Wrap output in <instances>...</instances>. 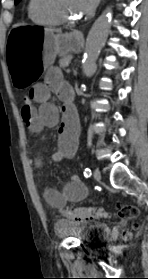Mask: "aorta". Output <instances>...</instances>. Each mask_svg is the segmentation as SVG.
<instances>
[{
  "instance_id": "obj_1",
  "label": "aorta",
  "mask_w": 148,
  "mask_h": 279,
  "mask_svg": "<svg viewBox=\"0 0 148 279\" xmlns=\"http://www.w3.org/2000/svg\"><path fill=\"white\" fill-rule=\"evenodd\" d=\"M111 27L110 8H106L92 25L85 45V57L82 65L83 75L90 77L100 50L108 37Z\"/></svg>"
}]
</instances>
